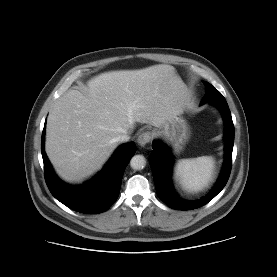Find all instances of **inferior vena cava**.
<instances>
[{
	"mask_svg": "<svg viewBox=\"0 0 277 277\" xmlns=\"http://www.w3.org/2000/svg\"><path fill=\"white\" fill-rule=\"evenodd\" d=\"M130 139V136L127 133L121 134L116 137V141L127 142Z\"/></svg>",
	"mask_w": 277,
	"mask_h": 277,
	"instance_id": "inferior-vena-cava-1",
	"label": "inferior vena cava"
}]
</instances>
